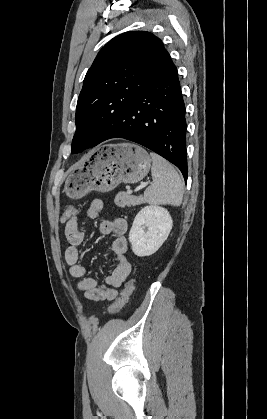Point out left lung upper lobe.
<instances>
[{"label":"left lung upper lobe","mask_w":267,"mask_h":419,"mask_svg":"<svg viewBox=\"0 0 267 419\" xmlns=\"http://www.w3.org/2000/svg\"><path fill=\"white\" fill-rule=\"evenodd\" d=\"M167 55L162 41L146 31L122 33L100 50L78 98L72 153L90 148L102 125L122 116Z\"/></svg>","instance_id":"left-lung-upper-lobe-1"}]
</instances>
